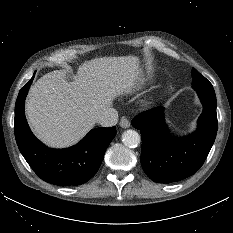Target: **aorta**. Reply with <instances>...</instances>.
<instances>
[{
    "label": "aorta",
    "mask_w": 233,
    "mask_h": 233,
    "mask_svg": "<svg viewBox=\"0 0 233 233\" xmlns=\"http://www.w3.org/2000/svg\"><path fill=\"white\" fill-rule=\"evenodd\" d=\"M122 141L125 146L134 148L139 145L141 137L135 130H126L122 135Z\"/></svg>",
    "instance_id": "762f6f07"
}]
</instances>
